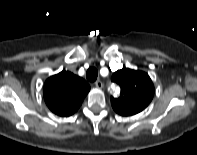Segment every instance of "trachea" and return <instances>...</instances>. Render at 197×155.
Listing matches in <instances>:
<instances>
[{
	"mask_svg": "<svg viewBox=\"0 0 197 155\" xmlns=\"http://www.w3.org/2000/svg\"><path fill=\"white\" fill-rule=\"evenodd\" d=\"M97 76H98V71L95 67L89 68L86 72V78L90 82L96 81Z\"/></svg>",
	"mask_w": 197,
	"mask_h": 155,
	"instance_id": "3493384b",
	"label": "trachea"
}]
</instances>
